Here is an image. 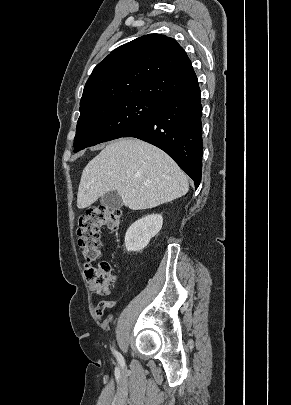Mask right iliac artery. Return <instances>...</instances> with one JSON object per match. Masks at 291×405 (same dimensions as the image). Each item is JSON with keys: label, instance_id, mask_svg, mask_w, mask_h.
<instances>
[{"label": "right iliac artery", "instance_id": "82829eb1", "mask_svg": "<svg viewBox=\"0 0 291 405\" xmlns=\"http://www.w3.org/2000/svg\"><path fill=\"white\" fill-rule=\"evenodd\" d=\"M114 352H115V354H116L118 360H119L120 362H122V361H123V358H122L121 354L118 353L117 351H114Z\"/></svg>", "mask_w": 291, "mask_h": 405}]
</instances>
